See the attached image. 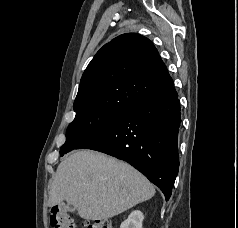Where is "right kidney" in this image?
<instances>
[{
    "instance_id": "1",
    "label": "right kidney",
    "mask_w": 238,
    "mask_h": 228,
    "mask_svg": "<svg viewBox=\"0 0 238 228\" xmlns=\"http://www.w3.org/2000/svg\"><path fill=\"white\" fill-rule=\"evenodd\" d=\"M144 215L141 211H133L128 218L121 223L120 228H142Z\"/></svg>"
}]
</instances>
